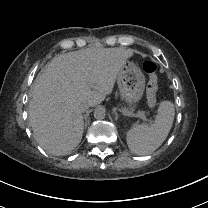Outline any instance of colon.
<instances>
[{"mask_svg": "<svg viewBox=\"0 0 208 208\" xmlns=\"http://www.w3.org/2000/svg\"><path fill=\"white\" fill-rule=\"evenodd\" d=\"M143 70L147 75L146 97L150 107L156 103L157 93V66L153 60L146 59L143 62Z\"/></svg>", "mask_w": 208, "mask_h": 208, "instance_id": "5ec220e1", "label": "colon"}]
</instances>
